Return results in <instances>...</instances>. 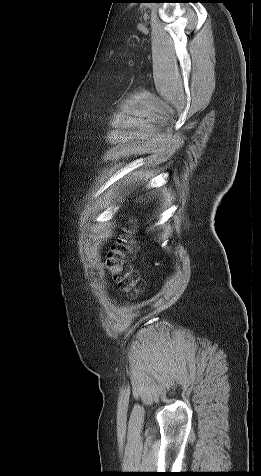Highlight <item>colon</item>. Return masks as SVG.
Here are the masks:
<instances>
[{
	"label": "colon",
	"mask_w": 261,
	"mask_h": 476,
	"mask_svg": "<svg viewBox=\"0 0 261 476\" xmlns=\"http://www.w3.org/2000/svg\"><path fill=\"white\" fill-rule=\"evenodd\" d=\"M135 258L133 231L128 228L106 251L104 264L118 289L135 296L141 288L139 274L131 262Z\"/></svg>",
	"instance_id": "obj_1"
}]
</instances>
